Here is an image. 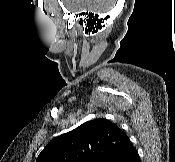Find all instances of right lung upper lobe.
Returning <instances> with one entry per match:
<instances>
[{"label": "right lung upper lobe", "mask_w": 175, "mask_h": 162, "mask_svg": "<svg viewBox=\"0 0 175 162\" xmlns=\"http://www.w3.org/2000/svg\"><path fill=\"white\" fill-rule=\"evenodd\" d=\"M133 148L118 125L100 118L52 140L36 162H112Z\"/></svg>", "instance_id": "cb5924a9"}]
</instances>
